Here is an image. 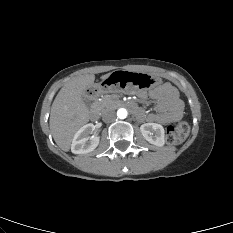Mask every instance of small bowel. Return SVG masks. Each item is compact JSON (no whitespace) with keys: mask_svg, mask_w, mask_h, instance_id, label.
<instances>
[{"mask_svg":"<svg viewBox=\"0 0 233 233\" xmlns=\"http://www.w3.org/2000/svg\"><path fill=\"white\" fill-rule=\"evenodd\" d=\"M140 98H146L147 93L140 91ZM149 96L156 102L157 113H146L137 109L139 119H147L150 122L166 124L178 120L183 114V102L179 98L177 90L170 84L154 88L150 91Z\"/></svg>","mask_w":233,"mask_h":233,"instance_id":"obj_1","label":"small bowel"}]
</instances>
